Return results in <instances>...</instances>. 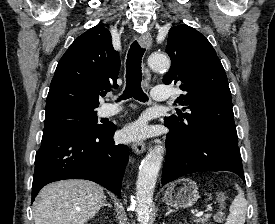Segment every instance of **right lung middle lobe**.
<instances>
[{"label":"right lung middle lobe","instance_id":"dd1d6c3e","mask_svg":"<svg viewBox=\"0 0 275 224\" xmlns=\"http://www.w3.org/2000/svg\"><path fill=\"white\" fill-rule=\"evenodd\" d=\"M67 126L97 131L103 125L97 124V111L93 108L63 107L45 114V128Z\"/></svg>","mask_w":275,"mask_h":224}]
</instances>
